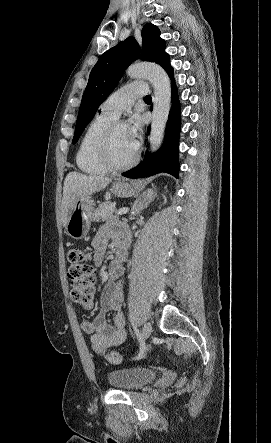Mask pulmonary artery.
<instances>
[{"mask_svg": "<svg viewBox=\"0 0 271 443\" xmlns=\"http://www.w3.org/2000/svg\"><path fill=\"white\" fill-rule=\"evenodd\" d=\"M140 83H132L113 92L101 105L100 113L117 118L123 111L128 110L135 99L144 95Z\"/></svg>", "mask_w": 271, "mask_h": 443, "instance_id": "1", "label": "pulmonary artery"}]
</instances>
